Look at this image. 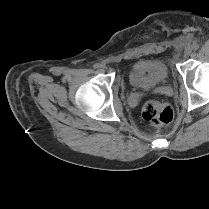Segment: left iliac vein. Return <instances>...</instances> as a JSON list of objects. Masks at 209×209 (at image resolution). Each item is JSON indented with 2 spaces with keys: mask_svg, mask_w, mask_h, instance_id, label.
I'll return each instance as SVG.
<instances>
[{
  "mask_svg": "<svg viewBox=\"0 0 209 209\" xmlns=\"http://www.w3.org/2000/svg\"><path fill=\"white\" fill-rule=\"evenodd\" d=\"M191 54V49L188 48L185 50V56H189Z\"/></svg>",
  "mask_w": 209,
  "mask_h": 209,
  "instance_id": "left-iliac-vein-1",
  "label": "left iliac vein"
}]
</instances>
